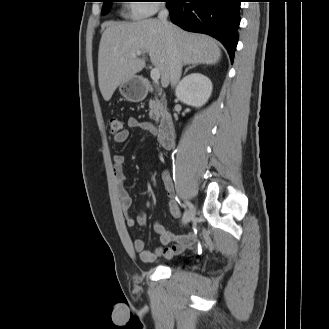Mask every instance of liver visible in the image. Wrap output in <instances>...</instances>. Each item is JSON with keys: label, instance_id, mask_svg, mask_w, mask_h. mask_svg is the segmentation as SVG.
<instances>
[{"label": "liver", "instance_id": "obj_1", "mask_svg": "<svg viewBox=\"0 0 329 329\" xmlns=\"http://www.w3.org/2000/svg\"><path fill=\"white\" fill-rule=\"evenodd\" d=\"M170 25L173 41L158 19L107 23L98 52V82L105 101L111 99L118 86L145 67L138 52L149 54L152 64L160 72L163 87L169 85L170 64L175 51L184 65L219 62L221 50L214 39Z\"/></svg>", "mask_w": 329, "mask_h": 329}]
</instances>
